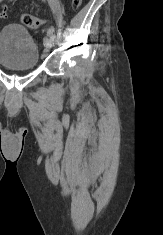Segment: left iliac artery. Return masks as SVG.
<instances>
[{
  "mask_svg": "<svg viewBox=\"0 0 163 235\" xmlns=\"http://www.w3.org/2000/svg\"><path fill=\"white\" fill-rule=\"evenodd\" d=\"M54 32H55V29H54L53 26H51V27L48 29V31H47L48 35H49L53 40H55Z\"/></svg>",
  "mask_w": 163,
  "mask_h": 235,
  "instance_id": "obj_1",
  "label": "left iliac artery"
}]
</instances>
